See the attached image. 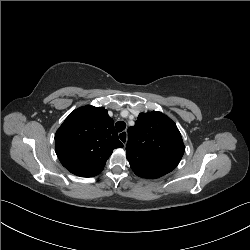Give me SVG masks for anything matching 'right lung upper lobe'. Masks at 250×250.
<instances>
[{
	"mask_svg": "<svg viewBox=\"0 0 250 250\" xmlns=\"http://www.w3.org/2000/svg\"><path fill=\"white\" fill-rule=\"evenodd\" d=\"M123 147L113 119L103 107L74 110L55 135V150L62 165L80 177L102 172L115 148Z\"/></svg>",
	"mask_w": 250,
	"mask_h": 250,
	"instance_id": "right-lung-upper-lobe-1",
	"label": "right lung upper lobe"
}]
</instances>
